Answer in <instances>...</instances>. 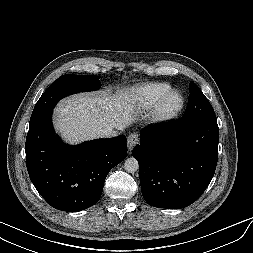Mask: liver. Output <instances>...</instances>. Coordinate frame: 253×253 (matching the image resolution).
I'll return each mask as SVG.
<instances>
[{"mask_svg":"<svg viewBox=\"0 0 253 253\" xmlns=\"http://www.w3.org/2000/svg\"><path fill=\"white\" fill-rule=\"evenodd\" d=\"M135 103L133 90L74 95L59 102L54 124L67 142L76 144L98 137L105 127L125 129L135 121Z\"/></svg>","mask_w":253,"mask_h":253,"instance_id":"obj_1","label":"liver"}]
</instances>
